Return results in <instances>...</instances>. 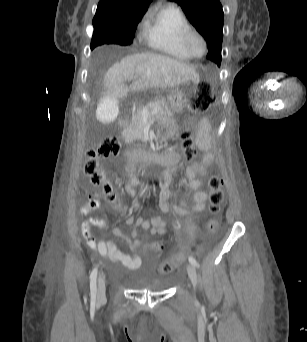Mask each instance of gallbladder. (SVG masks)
Listing matches in <instances>:
<instances>
[{
	"mask_svg": "<svg viewBox=\"0 0 307 342\" xmlns=\"http://www.w3.org/2000/svg\"><path fill=\"white\" fill-rule=\"evenodd\" d=\"M123 101L122 95H103L101 103L95 107V114H98V123H113L118 110L119 102Z\"/></svg>",
	"mask_w": 307,
	"mask_h": 342,
	"instance_id": "1",
	"label": "gallbladder"
}]
</instances>
